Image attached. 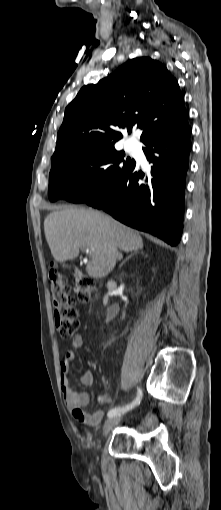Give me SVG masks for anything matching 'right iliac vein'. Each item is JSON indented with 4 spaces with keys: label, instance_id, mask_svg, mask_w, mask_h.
I'll list each match as a JSON object with an SVG mask.
<instances>
[{
    "label": "right iliac vein",
    "instance_id": "right-iliac-vein-1",
    "mask_svg": "<svg viewBox=\"0 0 221 510\" xmlns=\"http://www.w3.org/2000/svg\"><path fill=\"white\" fill-rule=\"evenodd\" d=\"M121 418L122 417L118 415L107 419L103 427V435H107L109 431L121 421Z\"/></svg>",
    "mask_w": 221,
    "mask_h": 510
}]
</instances>
